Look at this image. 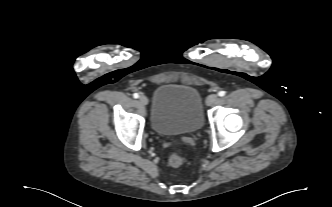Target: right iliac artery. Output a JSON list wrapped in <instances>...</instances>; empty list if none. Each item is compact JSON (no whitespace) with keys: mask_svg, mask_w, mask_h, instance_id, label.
<instances>
[{"mask_svg":"<svg viewBox=\"0 0 332 207\" xmlns=\"http://www.w3.org/2000/svg\"><path fill=\"white\" fill-rule=\"evenodd\" d=\"M133 97L137 99L139 97V94L138 93H134Z\"/></svg>","mask_w":332,"mask_h":207,"instance_id":"obj_1","label":"right iliac artery"}]
</instances>
